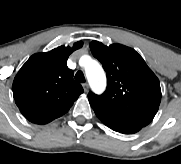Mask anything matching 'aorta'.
<instances>
[{"label": "aorta", "instance_id": "762f6f07", "mask_svg": "<svg viewBox=\"0 0 181 164\" xmlns=\"http://www.w3.org/2000/svg\"><path fill=\"white\" fill-rule=\"evenodd\" d=\"M86 77L96 93H101L106 87V75L102 66L95 60H90L85 67Z\"/></svg>", "mask_w": 181, "mask_h": 164}]
</instances>
